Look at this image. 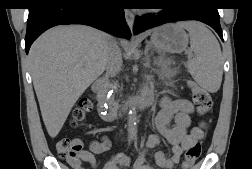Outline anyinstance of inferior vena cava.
I'll use <instances>...</instances> for the list:
<instances>
[{
    "label": "inferior vena cava",
    "instance_id": "obj_1",
    "mask_svg": "<svg viewBox=\"0 0 252 169\" xmlns=\"http://www.w3.org/2000/svg\"><path fill=\"white\" fill-rule=\"evenodd\" d=\"M122 68L121 50L115 40L109 42L106 53V76L115 77Z\"/></svg>",
    "mask_w": 252,
    "mask_h": 169
}]
</instances>
